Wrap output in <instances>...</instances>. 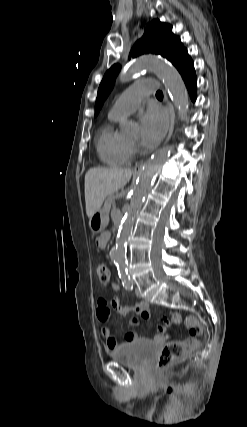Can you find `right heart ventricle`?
<instances>
[{
    "label": "right heart ventricle",
    "mask_w": 247,
    "mask_h": 427,
    "mask_svg": "<svg viewBox=\"0 0 247 427\" xmlns=\"http://www.w3.org/2000/svg\"><path fill=\"white\" fill-rule=\"evenodd\" d=\"M117 118L109 117L96 137V149L100 160L108 166H120L128 163L132 149L114 127Z\"/></svg>",
    "instance_id": "right-heart-ventricle-1"
}]
</instances>
